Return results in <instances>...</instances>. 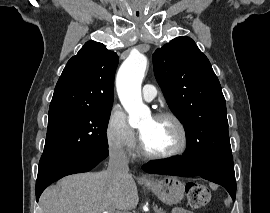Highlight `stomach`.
<instances>
[{
	"instance_id": "0dacf381",
	"label": "stomach",
	"mask_w": 270,
	"mask_h": 213,
	"mask_svg": "<svg viewBox=\"0 0 270 213\" xmlns=\"http://www.w3.org/2000/svg\"><path fill=\"white\" fill-rule=\"evenodd\" d=\"M145 185L166 204L180 202L185 192L184 183L173 176H166L160 180L148 182Z\"/></svg>"
}]
</instances>
